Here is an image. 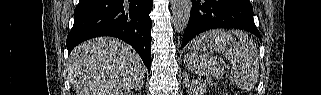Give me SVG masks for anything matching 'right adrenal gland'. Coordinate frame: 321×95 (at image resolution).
Segmentation results:
<instances>
[{
	"label": "right adrenal gland",
	"mask_w": 321,
	"mask_h": 95,
	"mask_svg": "<svg viewBox=\"0 0 321 95\" xmlns=\"http://www.w3.org/2000/svg\"><path fill=\"white\" fill-rule=\"evenodd\" d=\"M142 87H143V82H141L140 85L136 89L141 90Z\"/></svg>",
	"instance_id": "1"
}]
</instances>
